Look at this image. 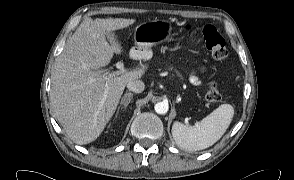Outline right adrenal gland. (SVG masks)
<instances>
[{
    "mask_svg": "<svg viewBox=\"0 0 294 180\" xmlns=\"http://www.w3.org/2000/svg\"><path fill=\"white\" fill-rule=\"evenodd\" d=\"M132 98H133V94L130 92H128V93L126 92L121 99L120 107L126 108L129 105V103L131 102Z\"/></svg>",
    "mask_w": 294,
    "mask_h": 180,
    "instance_id": "2a0ac1e0",
    "label": "right adrenal gland"
}]
</instances>
